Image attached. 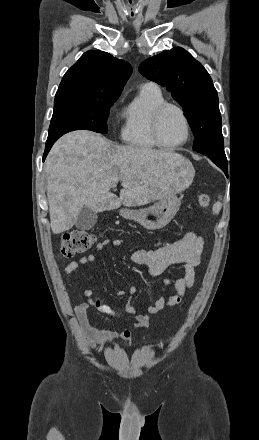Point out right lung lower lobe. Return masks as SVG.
Returning a JSON list of instances; mask_svg holds the SVG:
<instances>
[{
    "label": "right lung lower lobe",
    "instance_id": "right-lung-lower-lobe-1",
    "mask_svg": "<svg viewBox=\"0 0 259 440\" xmlns=\"http://www.w3.org/2000/svg\"><path fill=\"white\" fill-rule=\"evenodd\" d=\"M56 140H57L56 138L52 139V140H47L46 146H45V152H44V156H43V161L45 160L48 152L50 151L52 145L55 143Z\"/></svg>",
    "mask_w": 259,
    "mask_h": 440
}]
</instances>
